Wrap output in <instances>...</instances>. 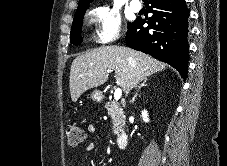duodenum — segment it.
<instances>
[{"label": "duodenum", "mask_w": 227, "mask_h": 166, "mask_svg": "<svg viewBox=\"0 0 227 166\" xmlns=\"http://www.w3.org/2000/svg\"><path fill=\"white\" fill-rule=\"evenodd\" d=\"M128 143V134L126 132H121L117 136V146L119 149H124Z\"/></svg>", "instance_id": "1"}]
</instances>
